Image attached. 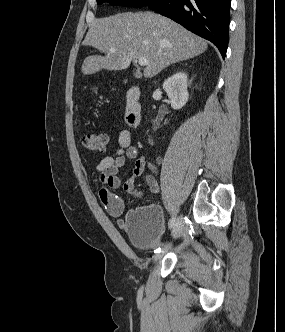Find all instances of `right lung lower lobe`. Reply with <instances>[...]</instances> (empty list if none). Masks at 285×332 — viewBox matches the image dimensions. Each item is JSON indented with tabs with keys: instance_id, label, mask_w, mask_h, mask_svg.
Segmentation results:
<instances>
[{
	"instance_id": "obj_1",
	"label": "right lung lower lobe",
	"mask_w": 285,
	"mask_h": 332,
	"mask_svg": "<svg viewBox=\"0 0 285 332\" xmlns=\"http://www.w3.org/2000/svg\"><path fill=\"white\" fill-rule=\"evenodd\" d=\"M146 6L210 40L225 58L230 0H153Z\"/></svg>"
}]
</instances>
